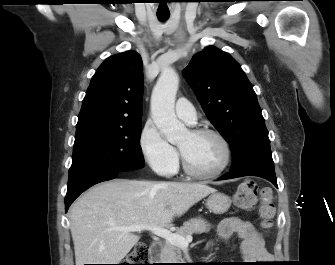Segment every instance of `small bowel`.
<instances>
[{
	"label": "small bowel",
	"instance_id": "small-bowel-1",
	"mask_svg": "<svg viewBox=\"0 0 335 265\" xmlns=\"http://www.w3.org/2000/svg\"><path fill=\"white\" fill-rule=\"evenodd\" d=\"M217 234L225 242L236 236L240 240L239 251L242 259L247 263H267L271 260L262 236L249 222L235 217L226 218L219 223Z\"/></svg>",
	"mask_w": 335,
	"mask_h": 265
}]
</instances>
